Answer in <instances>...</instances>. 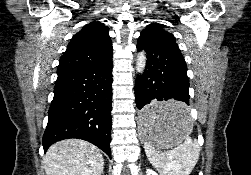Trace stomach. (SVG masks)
Listing matches in <instances>:
<instances>
[{"label": "stomach", "mask_w": 251, "mask_h": 175, "mask_svg": "<svg viewBox=\"0 0 251 175\" xmlns=\"http://www.w3.org/2000/svg\"><path fill=\"white\" fill-rule=\"evenodd\" d=\"M179 105H183V100H154V105L145 106L139 117L141 139L151 141L155 148L167 149L179 145L183 141V134H197V129H179L195 128L189 114H181L182 111H191V106Z\"/></svg>", "instance_id": "obj_1"}]
</instances>
